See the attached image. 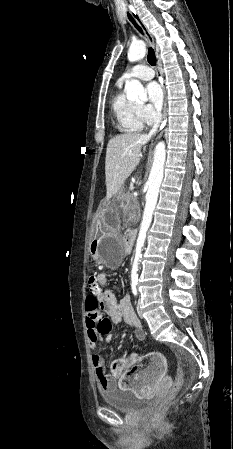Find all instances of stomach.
Listing matches in <instances>:
<instances>
[{"mask_svg": "<svg viewBox=\"0 0 233 449\" xmlns=\"http://www.w3.org/2000/svg\"><path fill=\"white\" fill-rule=\"evenodd\" d=\"M100 210H109V212H94L93 220L99 221L98 238L92 240L89 251L92 257L99 263L106 265L111 269L119 266L122 260L123 246L121 240L114 233L115 227L120 221V212H110L119 210V201H100Z\"/></svg>", "mask_w": 233, "mask_h": 449, "instance_id": "obj_1", "label": "stomach"}]
</instances>
